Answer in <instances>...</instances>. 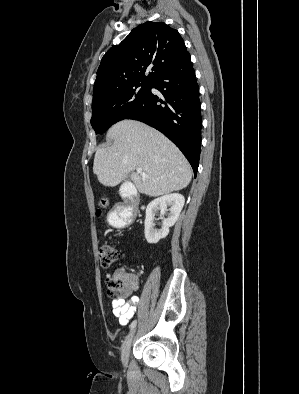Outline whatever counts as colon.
I'll list each match as a JSON object with an SVG mask.
<instances>
[{
  "label": "colon",
  "mask_w": 299,
  "mask_h": 394,
  "mask_svg": "<svg viewBox=\"0 0 299 394\" xmlns=\"http://www.w3.org/2000/svg\"><path fill=\"white\" fill-rule=\"evenodd\" d=\"M109 204L108 199L101 200V206L107 207ZM99 261L103 267L113 265L119 258L118 248L111 244L105 243L99 247L98 250ZM134 279L131 274L126 273L124 270L116 271L108 280L107 287L115 300H126L129 298L133 291Z\"/></svg>",
  "instance_id": "1"
}]
</instances>
